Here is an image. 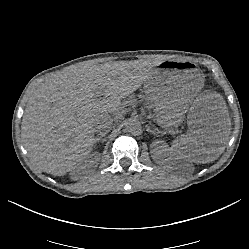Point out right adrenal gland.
Wrapping results in <instances>:
<instances>
[{
  "label": "right adrenal gland",
  "instance_id": "1",
  "mask_svg": "<svg viewBox=\"0 0 249 249\" xmlns=\"http://www.w3.org/2000/svg\"><path fill=\"white\" fill-rule=\"evenodd\" d=\"M104 137H105V133H100L98 136H96V137H95V142H94V144H95L94 147H96V145L98 144V142H99L102 138H104Z\"/></svg>",
  "mask_w": 249,
  "mask_h": 249
}]
</instances>
